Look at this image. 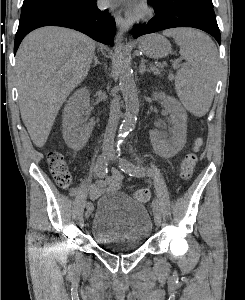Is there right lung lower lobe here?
Returning <instances> with one entry per match:
<instances>
[{
  "label": "right lung lower lobe",
  "mask_w": 245,
  "mask_h": 300,
  "mask_svg": "<svg viewBox=\"0 0 245 300\" xmlns=\"http://www.w3.org/2000/svg\"><path fill=\"white\" fill-rule=\"evenodd\" d=\"M62 26L80 31L96 41L113 46L115 20L107 10H100L96 0L82 9H68L19 23L15 36L14 53L22 39L32 30L43 26Z\"/></svg>",
  "instance_id": "1"
}]
</instances>
